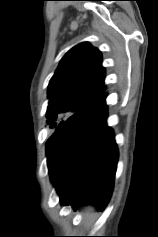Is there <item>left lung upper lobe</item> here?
<instances>
[{
    "label": "left lung upper lobe",
    "mask_w": 158,
    "mask_h": 237,
    "mask_svg": "<svg viewBox=\"0 0 158 237\" xmlns=\"http://www.w3.org/2000/svg\"><path fill=\"white\" fill-rule=\"evenodd\" d=\"M102 56L89 43H81L62 58L48 85L47 123L58 128L62 114H74L106 89Z\"/></svg>",
    "instance_id": "5c2ea615"
}]
</instances>
